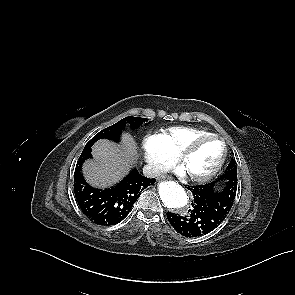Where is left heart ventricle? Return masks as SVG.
Instances as JSON below:
<instances>
[{
	"label": "left heart ventricle",
	"mask_w": 295,
	"mask_h": 295,
	"mask_svg": "<svg viewBox=\"0 0 295 295\" xmlns=\"http://www.w3.org/2000/svg\"><path fill=\"white\" fill-rule=\"evenodd\" d=\"M222 145L211 139L201 143L183 164L184 170L190 175L208 173L219 161Z\"/></svg>",
	"instance_id": "left-heart-ventricle-1"
}]
</instances>
